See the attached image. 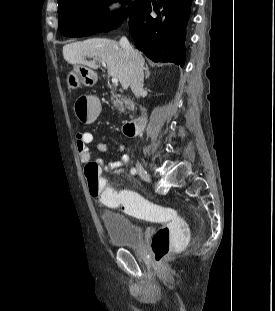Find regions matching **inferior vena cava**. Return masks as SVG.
I'll use <instances>...</instances> for the list:
<instances>
[{
    "mask_svg": "<svg viewBox=\"0 0 275 311\" xmlns=\"http://www.w3.org/2000/svg\"><path fill=\"white\" fill-rule=\"evenodd\" d=\"M120 46L124 49L127 57L129 58L130 65V75H131V90L134 95L138 98L142 95L143 92V65L144 60L141 55H139L129 44V41L126 37L120 39Z\"/></svg>",
    "mask_w": 275,
    "mask_h": 311,
    "instance_id": "1",
    "label": "inferior vena cava"
}]
</instances>
